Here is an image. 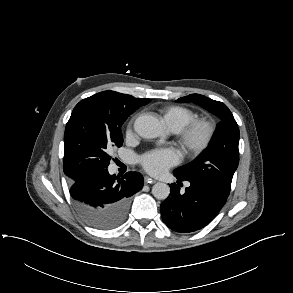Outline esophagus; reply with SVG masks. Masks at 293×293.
Instances as JSON below:
<instances>
[{"mask_svg":"<svg viewBox=\"0 0 293 293\" xmlns=\"http://www.w3.org/2000/svg\"><path fill=\"white\" fill-rule=\"evenodd\" d=\"M145 182H146V183H155L156 180L153 179V178H151V177L146 176V177H145Z\"/></svg>","mask_w":293,"mask_h":293,"instance_id":"esophagus-1","label":"esophagus"}]
</instances>
